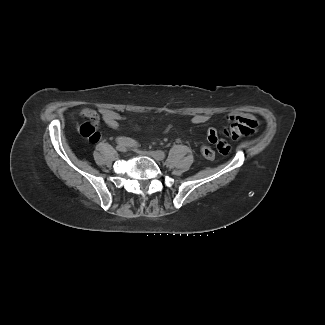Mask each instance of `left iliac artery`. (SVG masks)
<instances>
[{"label": "left iliac artery", "mask_w": 325, "mask_h": 325, "mask_svg": "<svg viewBox=\"0 0 325 325\" xmlns=\"http://www.w3.org/2000/svg\"><path fill=\"white\" fill-rule=\"evenodd\" d=\"M157 153L160 160H163L165 158V153L163 151H157Z\"/></svg>", "instance_id": "obj_1"}]
</instances>
